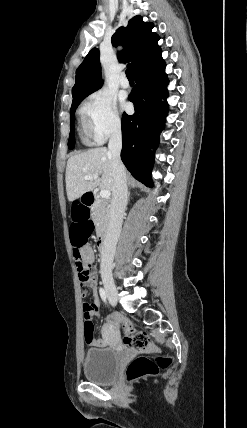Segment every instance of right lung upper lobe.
Masks as SVG:
<instances>
[{"mask_svg":"<svg viewBox=\"0 0 247 428\" xmlns=\"http://www.w3.org/2000/svg\"><path fill=\"white\" fill-rule=\"evenodd\" d=\"M153 23H145L141 16L133 17L126 28L120 27L112 36L114 46L123 45L118 53L120 62L128 63L135 74L161 57L157 42L160 37L153 33ZM102 85L99 50L92 49L76 72V82L72 88V105L99 89Z\"/></svg>","mask_w":247,"mask_h":428,"instance_id":"1","label":"right lung upper lobe"}]
</instances>
